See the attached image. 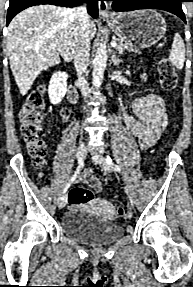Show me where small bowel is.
Returning a JSON list of instances; mask_svg holds the SVG:
<instances>
[{"label":"small bowel","mask_w":193,"mask_h":287,"mask_svg":"<svg viewBox=\"0 0 193 287\" xmlns=\"http://www.w3.org/2000/svg\"><path fill=\"white\" fill-rule=\"evenodd\" d=\"M122 118L142 149L149 148L158 140L167 123L163 100L151 92L136 99L132 106V114L123 109ZM80 180L96 190H101L99 180L89 171L83 172Z\"/></svg>","instance_id":"c3829d8e"}]
</instances>
